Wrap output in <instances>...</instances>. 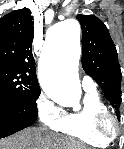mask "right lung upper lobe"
<instances>
[{"mask_svg":"<svg viewBox=\"0 0 124 149\" xmlns=\"http://www.w3.org/2000/svg\"><path fill=\"white\" fill-rule=\"evenodd\" d=\"M33 38L34 21L29 9L15 10L0 18V66L19 70L37 82Z\"/></svg>","mask_w":124,"mask_h":149,"instance_id":"right-lung-upper-lobe-1","label":"right lung upper lobe"}]
</instances>
